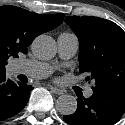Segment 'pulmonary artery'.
I'll return each instance as SVG.
<instances>
[{
    "label": "pulmonary artery",
    "mask_w": 125,
    "mask_h": 125,
    "mask_svg": "<svg viewBox=\"0 0 125 125\" xmlns=\"http://www.w3.org/2000/svg\"><path fill=\"white\" fill-rule=\"evenodd\" d=\"M58 53L63 59H69L75 55L79 46V40L73 33L62 32L57 37ZM53 68L50 64L37 60H21L16 65V73L35 79H44L50 76ZM93 93L91 88L85 91L89 97Z\"/></svg>",
    "instance_id": "1"
}]
</instances>
